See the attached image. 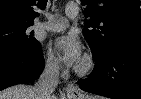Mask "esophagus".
I'll return each instance as SVG.
<instances>
[{
    "label": "esophagus",
    "instance_id": "1",
    "mask_svg": "<svg viewBox=\"0 0 141 99\" xmlns=\"http://www.w3.org/2000/svg\"><path fill=\"white\" fill-rule=\"evenodd\" d=\"M66 94H67L68 97H73V96L79 95L80 91L77 88V86H75L74 83L69 82L67 87H66Z\"/></svg>",
    "mask_w": 141,
    "mask_h": 99
}]
</instances>
